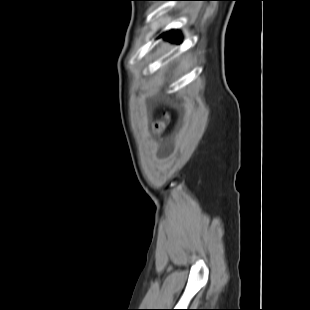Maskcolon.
<instances>
[{
	"label": "colon",
	"instance_id": "5ec220e1",
	"mask_svg": "<svg viewBox=\"0 0 310 310\" xmlns=\"http://www.w3.org/2000/svg\"><path fill=\"white\" fill-rule=\"evenodd\" d=\"M167 125H168V116L164 115L160 119L156 120L153 123L152 127H153V130L156 133L160 134V133H163L166 130Z\"/></svg>",
	"mask_w": 310,
	"mask_h": 310
}]
</instances>
